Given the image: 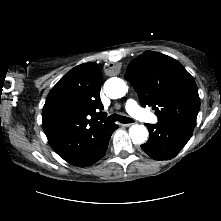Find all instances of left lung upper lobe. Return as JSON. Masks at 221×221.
I'll return each mask as SVG.
<instances>
[{"instance_id": "1", "label": "left lung upper lobe", "mask_w": 221, "mask_h": 221, "mask_svg": "<svg viewBox=\"0 0 221 221\" xmlns=\"http://www.w3.org/2000/svg\"><path fill=\"white\" fill-rule=\"evenodd\" d=\"M143 106H152L159 123L193 124L200 109L193 77L175 59L146 51L127 67L125 75Z\"/></svg>"}]
</instances>
